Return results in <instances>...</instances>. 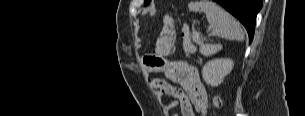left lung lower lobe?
I'll return each instance as SVG.
<instances>
[{"label":"left lung lower lobe","mask_w":305,"mask_h":116,"mask_svg":"<svg viewBox=\"0 0 305 116\" xmlns=\"http://www.w3.org/2000/svg\"><path fill=\"white\" fill-rule=\"evenodd\" d=\"M234 15L246 28L249 42L252 41L255 31V21L262 7L261 0H214Z\"/></svg>","instance_id":"left-lung-lower-lobe-1"}]
</instances>
